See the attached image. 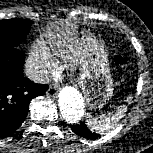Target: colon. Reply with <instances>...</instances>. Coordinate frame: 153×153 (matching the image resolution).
<instances>
[{
	"instance_id": "colon-1",
	"label": "colon",
	"mask_w": 153,
	"mask_h": 153,
	"mask_svg": "<svg viewBox=\"0 0 153 153\" xmlns=\"http://www.w3.org/2000/svg\"><path fill=\"white\" fill-rule=\"evenodd\" d=\"M114 63L117 67L123 68L127 64V60L120 54H116L114 56Z\"/></svg>"
}]
</instances>
